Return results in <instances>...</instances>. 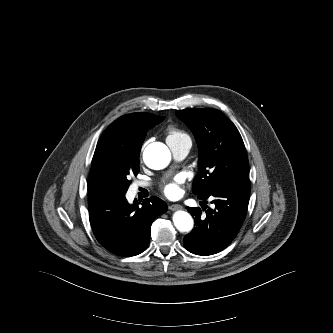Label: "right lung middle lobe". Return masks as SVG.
Here are the masks:
<instances>
[{
    "label": "right lung middle lobe",
    "mask_w": 333,
    "mask_h": 333,
    "mask_svg": "<svg viewBox=\"0 0 333 333\" xmlns=\"http://www.w3.org/2000/svg\"><path fill=\"white\" fill-rule=\"evenodd\" d=\"M141 146L120 148L106 156L107 170L112 182L113 195H124L130 185L129 175L139 172Z\"/></svg>",
    "instance_id": "1"
}]
</instances>
